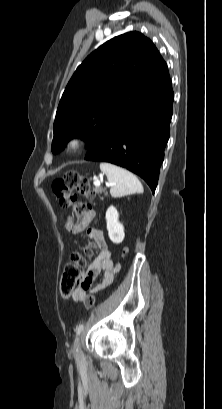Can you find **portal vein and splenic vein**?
<instances>
[{"instance_id":"18ae733b","label":"portal vein and splenic vein","mask_w":222,"mask_h":409,"mask_svg":"<svg viewBox=\"0 0 222 409\" xmlns=\"http://www.w3.org/2000/svg\"><path fill=\"white\" fill-rule=\"evenodd\" d=\"M101 182H102L101 180L96 179V180L94 181V185H95V186H100ZM106 186H107V187H111V186H113V184H112V183H106Z\"/></svg>"}]
</instances>
